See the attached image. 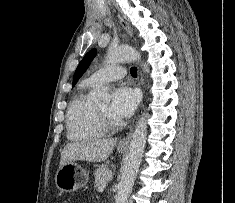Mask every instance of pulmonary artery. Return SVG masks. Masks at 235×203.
I'll return each instance as SVG.
<instances>
[{
	"label": "pulmonary artery",
	"instance_id": "1",
	"mask_svg": "<svg viewBox=\"0 0 235 203\" xmlns=\"http://www.w3.org/2000/svg\"><path fill=\"white\" fill-rule=\"evenodd\" d=\"M125 74L126 70L124 67L109 65L94 72L87 81L94 86H100L109 81L119 80L123 78Z\"/></svg>",
	"mask_w": 235,
	"mask_h": 203
}]
</instances>
